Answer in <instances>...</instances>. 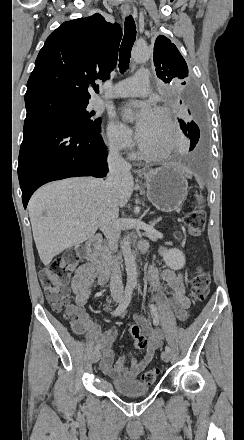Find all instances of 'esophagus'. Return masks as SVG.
I'll return each instance as SVG.
<instances>
[{"instance_id":"obj_1","label":"esophagus","mask_w":244,"mask_h":440,"mask_svg":"<svg viewBox=\"0 0 244 440\" xmlns=\"http://www.w3.org/2000/svg\"><path fill=\"white\" fill-rule=\"evenodd\" d=\"M121 13L122 15L126 16L130 13V8L129 7H121Z\"/></svg>"}]
</instances>
